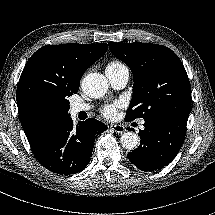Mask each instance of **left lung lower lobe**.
Here are the masks:
<instances>
[{"label":"left lung lower lobe","instance_id":"1","mask_svg":"<svg viewBox=\"0 0 215 215\" xmlns=\"http://www.w3.org/2000/svg\"><path fill=\"white\" fill-rule=\"evenodd\" d=\"M188 116L172 114L145 119V128L139 132L140 145L127 154L128 159L142 171L159 170L168 165L183 144Z\"/></svg>","mask_w":215,"mask_h":215}]
</instances>
